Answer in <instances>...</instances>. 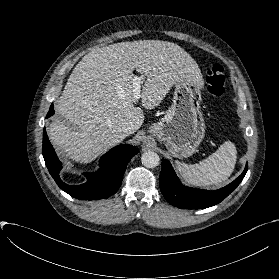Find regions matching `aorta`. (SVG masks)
Masks as SVG:
<instances>
[{"mask_svg":"<svg viewBox=\"0 0 279 279\" xmlns=\"http://www.w3.org/2000/svg\"><path fill=\"white\" fill-rule=\"evenodd\" d=\"M159 161V155L153 151H146L141 156V162L143 166L147 168H154L158 166Z\"/></svg>","mask_w":279,"mask_h":279,"instance_id":"obj_1","label":"aorta"}]
</instances>
